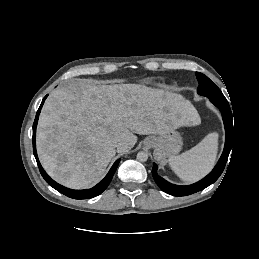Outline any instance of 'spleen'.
<instances>
[{"mask_svg": "<svg viewBox=\"0 0 259 259\" xmlns=\"http://www.w3.org/2000/svg\"><path fill=\"white\" fill-rule=\"evenodd\" d=\"M217 151L218 133L213 132L190 150L169 157L168 163L179 178L186 182H195L213 168Z\"/></svg>", "mask_w": 259, "mask_h": 259, "instance_id": "obj_1", "label": "spleen"}]
</instances>
